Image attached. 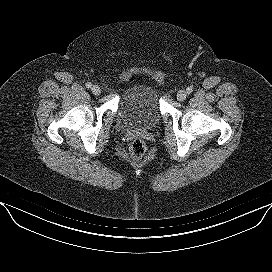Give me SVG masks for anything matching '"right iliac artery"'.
<instances>
[{"label":"right iliac artery","instance_id":"82829eb1","mask_svg":"<svg viewBox=\"0 0 272 272\" xmlns=\"http://www.w3.org/2000/svg\"><path fill=\"white\" fill-rule=\"evenodd\" d=\"M86 87L87 88H91L92 87V84L90 82L86 83Z\"/></svg>","mask_w":272,"mask_h":272}]
</instances>
